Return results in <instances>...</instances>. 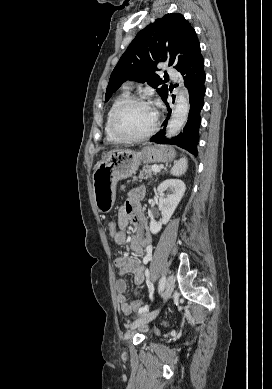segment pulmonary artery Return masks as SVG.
Here are the masks:
<instances>
[{"label": "pulmonary artery", "instance_id": "obj_1", "mask_svg": "<svg viewBox=\"0 0 272 389\" xmlns=\"http://www.w3.org/2000/svg\"><path fill=\"white\" fill-rule=\"evenodd\" d=\"M167 72L173 79H177L179 76L178 72L172 66L168 67Z\"/></svg>", "mask_w": 272, "mask_h": 389}]
</instances>
